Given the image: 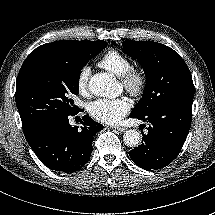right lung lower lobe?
I'll return each instance as SVG.
<instances>
[{"label":"right lung lower lobe","mask_w":215,"mask_h":215,"mask_svg":"<svg viewBox=\"0 0 215 215\" xmlns=\"http://www.w3.org/2000/svg\"><path fill=\"white\" fill-rule=\"evenodd\" d=\"M68 116L49 117L24 130L37 157L48 168L65 173L76 172L88 162L93 136L103 129V125L87 115L82 117L83 127L78 129L69 124Z\"/></svg>","instance_id":"1"}]
</instances>
